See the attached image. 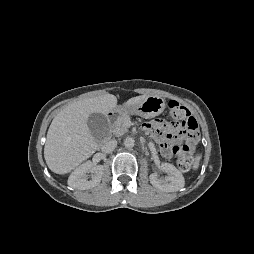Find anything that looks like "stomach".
Masks as SVG:
<instances>
[{
  "mask_svg": "<svg viewBox=\"0 0 254 254\" xmlns=\"http://www.w3.org/2000/svg\"><path fill=\"white\" fill-rule=\"evenodd\" d=\"M166 107L165 100L159 96H148L139 104L117 108L115 111L139 115L143 118H153L160 115Z\"/></svg>",
  "mask_w": 254,
  "mask_h": 254,
  "instance_id": "1",
  "label": "stomach"
}]
</instances>
